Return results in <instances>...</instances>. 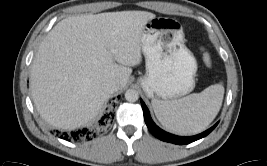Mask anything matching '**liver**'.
Instances as JSON below:
<instances>
[{
	"label": "liver",
	"mask_w": 267,
	"mask_h": 166,
	"mask_svg": "<svg viewBox=\"0 0 267 166\" xmlns=\"http://www.w3.org/2000/svg\"><path fill=\"white\" fill-rule=\"evenodd\" d=\"M156 15L146 11L68 17L47 34L30 73L33 101L56 128L86 125L111 95L106 84L125 87L142 61L141 37Z\"/></svg>",
	"instance_id": "6515ba94"
}]
</instances>
